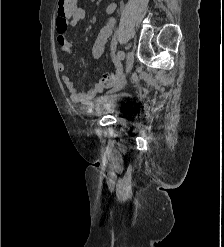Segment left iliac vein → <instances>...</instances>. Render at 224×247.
<instances>
[{
	"label": "left iliac vein",
	"mask_w": 224,
	"mask_h": 247,
	"mask_svg": "<svg viewBox=\"0 0 224 247\" xmlns=\"http://www.w3.org/2000/svg\"><path fill=\"white\" fill-rule=\"evenodd\" d=\"M133 64H134V54L133 52L129 51L126 55V73L127 74L132 70Z\"/></svg>",
	"instance_id": "left-iliac-vein-1"
}]
</instances>
